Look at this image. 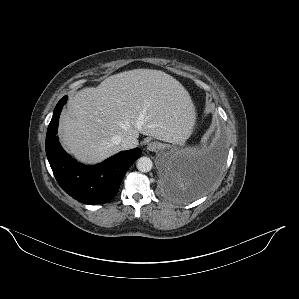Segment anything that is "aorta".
<instances>
[{"instance_id":"aorta-1","label":"aorta","mask_w":299,"mask_h":299,"mask_svg":"<svg viewBox=\"0 0 299 299\" xmlns=\"http://www.w3.org/2000/svg\"><path fill=\"white\" fill-rule=\"evenodd\" d=\"M152 166V160L148 157L143 156L137 160V169L141 172H149Z\"/></svg>"}]
</instances>
